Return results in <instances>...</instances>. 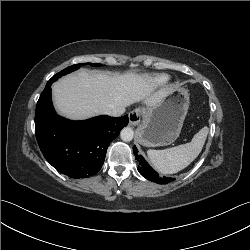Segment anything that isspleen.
Wrapping results in <instances>:
<instances>
[{
  "instance_id": "obj_1",
  "label": "spleen",
  "mask_w": 250,
  "mask_h": 250,
  "mask_svg": "<svg viewBox=\"0 0 250 250\" xmlns=\"http://www.w3.org/2000/svg\"><path fill=\"white\" fill-rule=\"evenodd\" d=\"M209 129L203 127L191 142L164 150H148L147 154L156 170L162 174H174L186 168L200 154Z\"/></svg>"
}]
</instances>
